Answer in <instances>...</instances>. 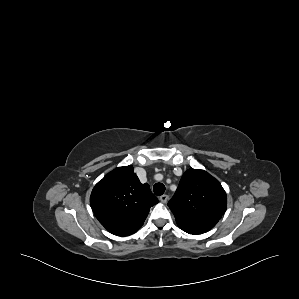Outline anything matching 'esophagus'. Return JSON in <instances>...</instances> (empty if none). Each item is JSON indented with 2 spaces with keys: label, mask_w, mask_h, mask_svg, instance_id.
I'll return each instance as SVG.
<instances>
[{
  "label": "esophagus",
  "mask_w": 299,
  "mask_h": 299,
  "mask_svg": "<svg viewBox=\"0 0 299 299\" xmlns=\"http://www.w3.org/2000/svg\"><path fill=\"white\" fill-rule=\"evenodd\" d=\"M169 199V196L166 195V194H163L160 196L159 200L162 202V203H166Z\"/></svg>",
  "instance_id": "1"
}]
</instances>
